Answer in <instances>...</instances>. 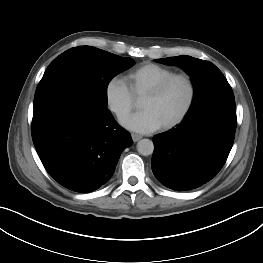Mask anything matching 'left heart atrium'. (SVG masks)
<instances>
[{
  "label": "left heart atrium",
  "instance_id": "left-heart-atrium-1",
  "mask_svg": "<svg viewBox=\"0 0 263 263\" xmlns=\"http://www.w3.org/2000/svg\"><path fill=\"white\" fill-rule=\"evenodd\" d=\"M122 125L131 131L148 134L158 130L163 124L152 110L143 109L125 118Z\"/></svg>",
  "mask_w": 263,
  "mask_h": 263
}]
</instances>
